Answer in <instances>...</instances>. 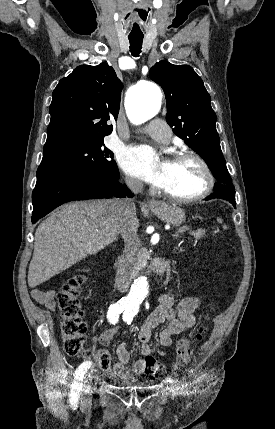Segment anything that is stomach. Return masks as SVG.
<instances>
[{"instance_id": "0dacf381", "label": "stomach", "mask_w": 275, "mask_h": 429, "mask_svg": "<svg viewBox=\"0 0 275 429\" xmlns=\"http://www.w3.org/2000/svg\"><path fill=\"white\" fill-rule=\"evenodd\" d=\"M151 210L160 220L169 225L180 226L186 219L184 210L174 204L161 203Z\"/></svg>"}]
</instances>
